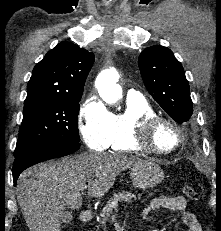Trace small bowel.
I'll list each match as a JSON object with an SVG mask.
<instances>
[{"label":"small bowel","instance_id":"c3829d8e","mask_svg":"<svg viewBox=\"0 0 221 231\" xmlns=\"http://www.w3.org/2000/svg\"><path fill=\"white\" fill-rule=\"evenodd\" d=\"M162 208L181 213L186 231H202L196 216L187 210V201L182 196L162 195L153 198L143 209V218H146L151 211Z\"/></svg>","mask_w":221,"mask_h":231}]
</instances>
